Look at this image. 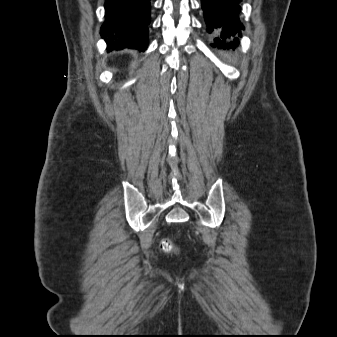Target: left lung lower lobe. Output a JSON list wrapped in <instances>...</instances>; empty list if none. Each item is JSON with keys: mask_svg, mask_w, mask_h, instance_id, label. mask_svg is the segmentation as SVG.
Masks as SVG:
<instances>
[{"mask_svg": "<svg viewBox=\"0 0 337 337\" xmlns=\"http://www.w3.org/2000/svg\"><path fill=\"white\" fill-rule=\"evenodd\" d=\"M241 0H201L208 32H214L213 46L233 48L244 27L239 19Z\"/></svg>", "mask_w": 337, "mask_h": 337, "instance_id": "0a47b994", "label": "left lung lower lobe"}]
</instances>
